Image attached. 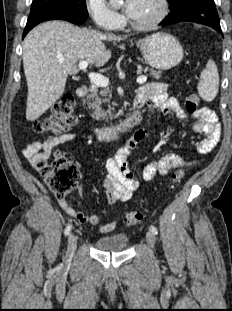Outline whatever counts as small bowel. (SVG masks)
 Here are the masks:
<instances>
[{"label":"small bowel","mask_w":232,"mask_h":311,"mask_svg":"<svg viewBox=\"0 0 232 311\" xmlns=\"http://www.w3.org/2000/svg\"><path fill=\"white\" fill-rule=\"evenodd\" d=\"M137 98L142 101V106H147L149 112L158 109L164 115L175 113L183 122H189L190 120L189 115L178 100L168 94L167 85L164 83L150 82L145 84L139 89ZM192 129L204 136L203 139L194 142L197 152L201 155L208 154L217 145L220 138V124L216 115L207 108H200L192 115ZM147 135V128L138 129L114 156L106 160V175L103 188L108 203L128 201L139 187L140 181L130 167L128 157ZM76 139V133L67 132L45 142L33 141L23 149L22 153L26 160L37 169V161L49 158L53 148ZM189 165L190 162H187L180 155L169 153L159 160L148 163L142 170L141 178L143 181H151L157 175L165 176L173 169ZM78 193L81 197L83 196L82 184L78 187ZM57 201L63 211L80 224L97 225L101 221V217L97 214L85 215L81 211L74 209L65 196H57ZM116 226L117 222L111 221L103 225L100 232L109 233Z\"/></svg>","instance_id":"obj_1"}]
</instances>
